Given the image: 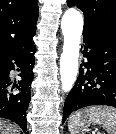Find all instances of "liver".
Here are the masks:
<instances>
[{
	"mask_svg": "<svg viewBox=\"0 0 116 134\" xmlns=\"http://www.w3.org/2000/svg\"><path fill=\"white\" fill-rule=\"evenodd\" d=\"M0 134H19V129L12 124L0 120Z\"/></svg>",
	"mask_w": 116,
	"mask_h": 134,
	"instance_id": "1",
	"label": "liver"
}]
</instances>
